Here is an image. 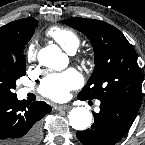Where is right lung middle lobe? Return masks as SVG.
Returning a JSON list of instances; mask_svg holds the SVG:
<instances>
[{"label": "right lung middle lobe", "instance_id": "right-lung-middle-lobe-1", "mask_svg": "<svg viewBox=\"0 0 145 145\" xmlns=\"http://www.w3.org/2000/svg\"><path fill=\"white\" fill-rule=\"evenodd\" d=\"M32 35L33 33L18 42L0 46V94L14 95L16 80L26 74L24 49Z\"/></svg>", "mask_w": 145, "mask_h": 145}]
</instances>
